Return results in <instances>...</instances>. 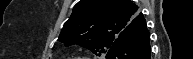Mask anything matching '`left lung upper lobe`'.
<instances>
[{"label": "left lung upper lobe", "mask_w": 193, "mask_h": 59, "mask_svg": "<svg viewBox=\"0 0 193 59\" xmlns=\"http://www.w3.org/2000/svg\"><path fill=\"white\" fill-rule=\"evenodd\" d=\"M142 16L131 0H80L58 38L65 46L80 45L101 56Z\"/></svg>", "instance_id": "left-lung-upper-lobe-1"}]
</instances>
